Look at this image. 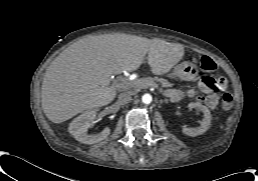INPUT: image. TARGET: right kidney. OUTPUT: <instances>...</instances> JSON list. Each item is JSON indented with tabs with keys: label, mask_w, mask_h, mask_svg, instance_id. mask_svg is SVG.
I'll return each instance as SVG.
<instances>
[{
	"label": "right kidney",
	"mask_w": 258,
	"mask_h": 181,
	"mask_svg": "<svg viewBox=\"0 0 258 181\" xmlns=\"http://www.w3.org/2000/svg\"><path fill=\"white\" fill-rule=\"evenodd\" d=\"M96 114L95 110L87 111L76 117L70 123L68 130L77 141L91 145L108 137L110 134L109 128H105L98 134H87L90 124L93 123L96 118Z\"/></svg>",
	"instance_id": "obj_1"
}]
</instances>
